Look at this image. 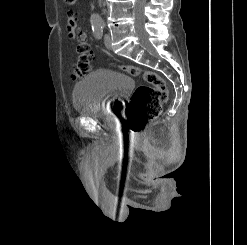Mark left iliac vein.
<instances>
[{
    "label": "left iliac vein",
    "instance_id": "1",
    "mask_svg": "<svg viewBox=\"0 0 247 245\" xmlns=\"http://www.w3.org/2000/svg\"><path fill=\"white\" fill-rule=\"evenodd\" d=\"M104 44L106 46L107 49H111V37L109 34H105L104 36Z\"/></svg>",
    "mask_w": 247,
    "mask_h": 245
}]
</instances>
